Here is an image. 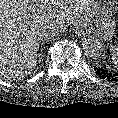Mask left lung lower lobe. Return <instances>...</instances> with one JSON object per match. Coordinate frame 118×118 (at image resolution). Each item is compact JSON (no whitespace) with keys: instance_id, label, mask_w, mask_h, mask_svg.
Returning a JSON list of instances; mask_svg holds the SVG:
<instances>
[{"instance_id":"obj_1","label":"left lung lower lobe","mask_w":118,"mask_h":118,"mask_svg":"<svg viewBox=\"0 0 118 118\" xmlns=\"http://www.w3.org/2000/svg\"><path fill=\"white\" fill-rule=\"evenodd\" d=\"M96 74L102 78L106 79L112 82H117L118 81V73L116 72H109L108 70L100 67L95 68Z\"/></svg>"}]
</instances>
